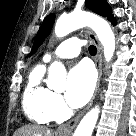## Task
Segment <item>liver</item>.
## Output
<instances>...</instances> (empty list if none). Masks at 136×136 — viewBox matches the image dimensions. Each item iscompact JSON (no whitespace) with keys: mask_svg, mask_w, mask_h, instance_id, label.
<instances>
[{"mask_svg":"<svg viewBox=\"0 0 136 136\" xmlns=\"http://www.w3.org/2000/svg\"><path fill=\"white\" fill-rule=\"evenodd\" d=\"M14 136H53L49 129L37 125H25Z\"/></svg>","mask_w":136,"mask_h":136,"instance_id":"1","label":"liver"}]
</instances>
